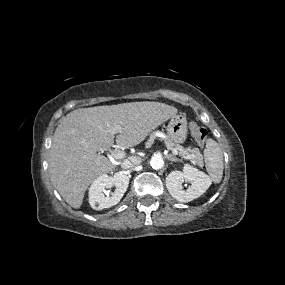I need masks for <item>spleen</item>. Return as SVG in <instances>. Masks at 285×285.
<instances>
[{"instance_id":"spleen-1","label":"spleen","mask_w":285,"mask_h":285,"mask_svg":"<svg viewBox=\"0 0 285 285\" xmlns=\"http://www.w3.org/2000/svg\"><path fill=\"white\" fill-rule=\"evenodd\" d=\"M206 171L211 181L219 183L223 175V154L218 143L209 139L204 150Z\"/></svg>"}]
</instances>
